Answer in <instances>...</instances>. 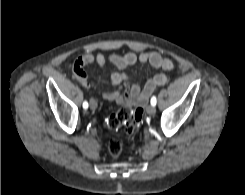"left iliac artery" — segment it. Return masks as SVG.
Returning a JSON list of instances; mask_svg holds the SVG:
<instances>
[{"mask_svg": "<svg viewBox=\"0 0 245 195\" xmlns=\"http://www.w3.org/2000/svg\"><path fill=\"white\" fill-rule=\"evenodd\" d=\"M156 102H157L156 97L153 96V97L151 98V105L155 106V105H156Z\"/></svg>", "mask_w": 245, "mask_h": 195, "instance_id": "obj_1", "label": "left iliac artery"}]
</instances>
